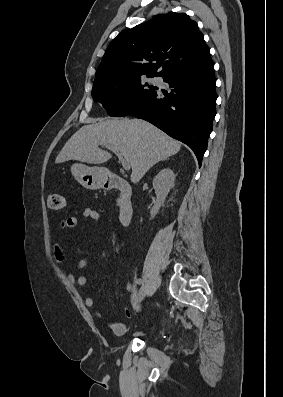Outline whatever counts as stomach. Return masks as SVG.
Instances as JSON below:
<instances>
[{
	"label": "stomach",
	"mask_w": 283,
	"mask_h": 397,
	"mask_svg": "<svg viewBox=\"0 0 283 397\" xmlns=\"http://www.w3.org/2000/svg\"><path fill=\"white\" fill-rule=\"evenodd\" d=\"M71 173L87 189H100L105 185L106 171L102 167H89L85 164L75 163L71 166Z\"/></svg>",
	"instance_id": "obj_1"
}]
</instances>
